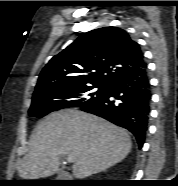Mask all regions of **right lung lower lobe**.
Masks as SVG:
<instances>
[{"label": "right lung lower lobe", "mask_w": 178, "mask_h": 186, "mask_svg": "<svg viewBox=\"0 0 178 186\" xmlns=\"http://www.w3.org/2000/svg\"><path fill=\"white\" fill-rule=\"evenodd\" d=\"M150 101V83L144 63L115 77L101 97L81 109L128 129L141 148L148 127Z\"/></svg>", "instance_id": "obj_1"}]
</instances>
